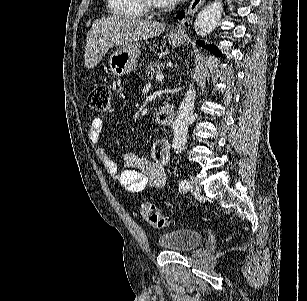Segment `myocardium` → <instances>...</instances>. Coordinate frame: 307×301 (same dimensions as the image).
<instances>
[{"label":"myocardium","instance_id":"f54148a6","mask_svg":"<svg viewBox=\"0 0 307 301\" xmlns=\"http://www.w3.org/2000/svg\"><path fill=\"white\" fill-rule=\"evenodd\" d=\"M147 5H144L142 10L144 13L141 14V17L147 18H157L159 12H169L167 9V4H157L156 0H145ZM140 3H143L144 0H139Z\"/></svg>","mask_w":307,"mask_h":301}]
</instances>
